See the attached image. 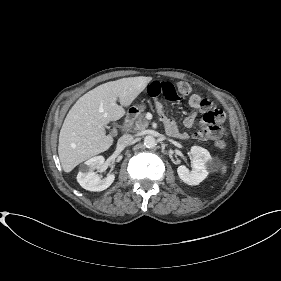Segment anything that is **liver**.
<instances>
[{"label":"liver","mask_w":281,"mask_h":281,"mask_svg":"<svg viewBox=\"0 0 281 281\" xmlns=\"http://www.w3.org/2000/svg\"><path fill=\"white\" fill-rule=\"evenodd\" d=\"M151 77H128L110 81L81 96L69 110L59 134L58 154L64 172L108 150L113 137L104 128L119 120L146 88ZM119 99L120 105L116 103Z\"/></svg>","instance_id":"liver-1"}]
</instances>
